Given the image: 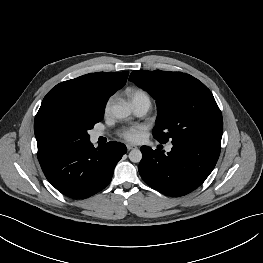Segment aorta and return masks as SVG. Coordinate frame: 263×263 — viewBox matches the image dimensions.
Masks as SVG:
<instances>
[{"label":"aorta","mask_w":263,"mask_h":263,"mask_svg":"<svg viewBox=\"0 0 263 263\" xmlns=\"http://www.w3.org/2000/svg\"><path fill=\"white\" fill-rule=\"evenodd\" d=\"M112 114L118 119L127 118L131 114V109L126 104H116L112 107ZM131 162L138 163L142 159V153L139 149H133L129 153Z\"/></svg>","instance_id":"obj_1"}]
</instances>
